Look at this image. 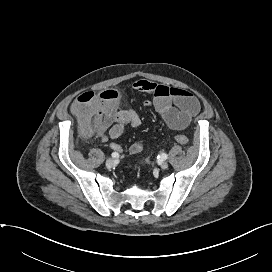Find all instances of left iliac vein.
<instances>
[{
  "label": "left iliac vein",
  "instance_id": "left-iliac-vein-1",
  "mask_svg": "<svg viewBox=\"0 0 272 272\" xmlns=\"http://www.w3.org/2000/svg\"><path fill=\"white\" fill-rule=\"evenodd\" d=\"M160 167L162 169H167L168 168V163L166 161H163V162L160 163Z\"/></svg>",
  "mask_w": 272,
  "mask_h": 272
}]
</instances>
